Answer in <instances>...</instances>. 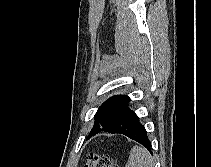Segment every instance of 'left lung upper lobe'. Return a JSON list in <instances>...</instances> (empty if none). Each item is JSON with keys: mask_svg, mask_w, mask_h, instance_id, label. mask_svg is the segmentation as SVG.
Instances as JSON below:
<instances>
[{"mask_svg": "<svg viewBox=\"0 0 211 167\" xmlns=\"http://www.w3.org/2000/svg\"><path fill=\"white\" fill-rule=\"evenodd\" d=\"M130 98L128 96L117 95L106 100L97 110L92 128L95 129L113 121L127 106Z\"/></svg>", "mask_w": 211, "mask_h": 167, "instance_id": "5c2ea615", "label": "left lung upper lobe"}]
</instances>
